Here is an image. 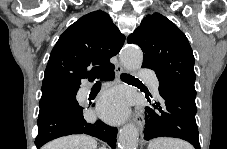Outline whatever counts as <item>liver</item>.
I'll return each instance as SVG.
<instances>
[{
	"instance_id": "obj_1",
	"label": "liver",
	"mask_w": 227,
	"mask_h": 149,
	"mask_svg": "<svg viewBox=\"0 0 227 149\" xmlns=\"http://www.w3.org/2000/svg\"><path fill=\"white\" fill-rule=\"evenodd\" d=\"M43 149H97V141L87 135H69L49 142Z\"/></svg>"
}]
</instances>
